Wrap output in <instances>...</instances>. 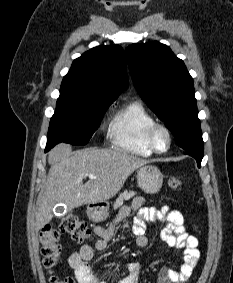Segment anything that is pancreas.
Masks as SVG:
<instances>
[{"label":"pancreas","mask_w":233,"mask_h":283,"mask_svg":"<svg viewBox=\"0 0 233 283\" xmlns=\"http://www.w3.org/2000/svg\"><path fill=\"white\" fill-rule=\"evenodd\" d=\"M136 192L134 191H127L125 190L123 193L119 195L116 202L114 203V208H118L123 204L124 200L130 199L131 197L135 196Z\"/></svg>","instance_id":"cf45deb5"}]
</instances>
